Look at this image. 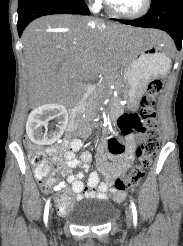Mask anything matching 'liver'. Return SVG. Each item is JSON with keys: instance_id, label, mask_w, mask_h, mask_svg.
<instances>
[{"instance_id": "obj_1", "label": "liver", "mask_w": 183, "mask_h": 246, "mask_svg": "<svg viewBox=\"0 0 183 246\" xmlns=\"http://www.w3.org/2000/svg\"><path fill=\"white\" fill-rule=\"evenodd\" d=\"M135 40L172 45L158 30L138 29L79 15H49L22 35L27 89L32 104H70L85 90L83 78L124 66Z\"/></svg>"}]
</instances>
